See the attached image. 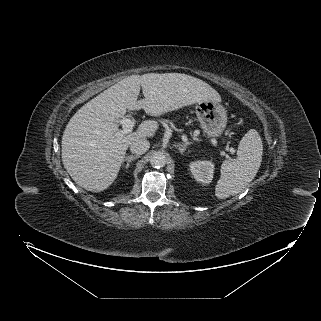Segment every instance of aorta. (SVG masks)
Masks as SVG:
<instances>
[{"mask_svg": "<svg viewBox=\"0 0 321 321\" xmlns=\"http://www.w3.org/2000/svg\"><path fill=\"white\" fill-rule=\"evenodd\" d=\"M166 162V156L162 152H155L150 158V164L155 168L164 167Z\"/></svg>", "mask_w": 321, "mask_h": 321, "instance_id": "obj_1", "label": "aorta"}]
</instances>
